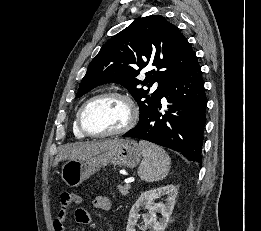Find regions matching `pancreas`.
I'll return each instance as SVG.
<instances>
[{"mask_svg": "<svg viewBox=\"0 0 261 231\" xmlns=\"http://www.w3.org/2000/svg\"><path fill=\"white\" fill-rule=\"evenodd\" d=\"M131 186L129 185H125V186H117V189L119 190V192L122 194V195H127L129 193V190H130Z\"/></svg>", "mask_w": 261, "mask_h": 231, "instance_id": "obj_1", "label": "pancreas"}]
</instances>
